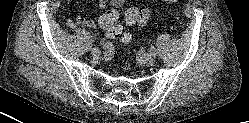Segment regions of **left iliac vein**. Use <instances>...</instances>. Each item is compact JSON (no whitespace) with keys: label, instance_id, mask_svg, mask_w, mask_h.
I'll use <instances>...</instances> for the list:
<instances>
[{"label":"left iliac vein","instance_id":"left-iliac-vein-1","mask_svg":"<svg viewBox=\"0 0 249 123\" xmlns=\"http://www.w3.org/2000/svg\"><path fill=\"white\" fill-rule=\"evenodd\" d=\"M144 61L148 65H152L154 63V56L151 53L144 54Z\"/></svg>","mask_w":249,"mask_h":123}]
</instances>
